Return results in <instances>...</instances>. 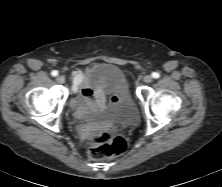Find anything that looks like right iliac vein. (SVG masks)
<instances>
[{
	"instance_id": "right-iliac-vein-1",
	"label": "right iliac vein",
	"mask_w": 222,
	"mask_h": 187,
	"mask_svg": "<svg viewBox=\"0 0 222 187\" xmlns=\"http://www.w3.org/2000/svg\"><path fill=\"white\" fill-rule=\"evenodd\" d=\"M56 81L59 84H63L65 82V78L63 76L59 75V76H57Z\"/></svg>"
}]
</instances>
